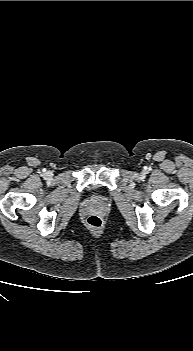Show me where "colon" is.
<instances>
[{
    "instance_id": "colon-1",
    "label": "colon",
    "mask_w": 193,
    "mask_h": 351,
    "mask_svg": "<svg viewBox=\"0 0 193 351\" xmlns=\"http://www.w3.org/2000/svg\"><path fill=\"white\" fill-rule=\"evenodd\" d=\"M86 223L92 229H100L103 225L102 219L97 215L90 216Z\"/></svg>"
}]
</instances>
